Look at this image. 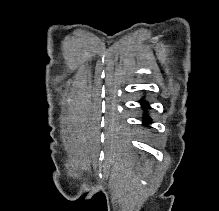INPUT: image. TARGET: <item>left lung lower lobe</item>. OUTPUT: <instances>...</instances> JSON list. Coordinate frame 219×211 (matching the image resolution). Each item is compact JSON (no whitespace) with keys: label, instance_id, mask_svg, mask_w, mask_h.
Segmentation results:
<instances>
[{"label":"left lung lower lobe","instance_id":"1","mask_svg":"<svg viewBox=\"0 0 219 211\" xmlns=\"http://www.w3.org/2000/svg\"><path fill=\"white\" fill-rule=\"evenodd\" d=\"M141 106H142L144 109L149 108V104H148V102H146V101H143L142 104H141ZM150 122H151V119H150L149 117H147V116H144V117H143V124H144V125H145V124H149Z\"/></svg>","mask_w":219,"mask_h":211}]
</instances>
